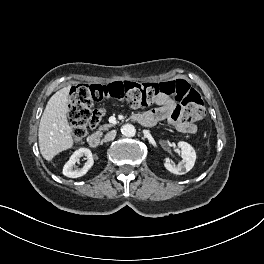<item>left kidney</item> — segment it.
Segmentation results:
<instances>
[{
	"instance_id": "obj_1",
	"label": "left kidney",
	"mask_w": 264,
	"mask_h": 264,
	"mask_svg": "<svg viewBox=\"0 0 264 264\" xmlns=\"http://www.w3.org/2000/svg\"><path fill=\"white\" fill-rule=\"evenodd\" d=\"M178 146L181 148L183 160L177 166L169 162H166L164 166L171 173L184 174L193 168L196 161V152L187 142L180 141Z\"/></svg>"
}]
</instances>
